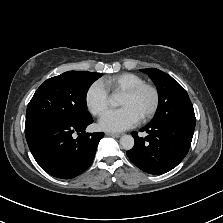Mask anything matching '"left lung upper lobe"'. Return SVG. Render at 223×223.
<instances>
[{
    "label": "left lung upper lobe",
    "instance_id": "5c2ea615",
    "mask_svg": "<svg viewBox=\"0 0 223 223\" xmlns=\"http://www.w3.org/2000/svg\"><path fill=\"white\" fill-rule=\"evenodd\" d=\"M142 71L155 83L159 94L158 109L150 123L173 122L195 126L193 105L184 88L161 70L147 68Z\"/></svg>",
    "mask_w": 223,
    "mask_h": 223
}]
</instances>
